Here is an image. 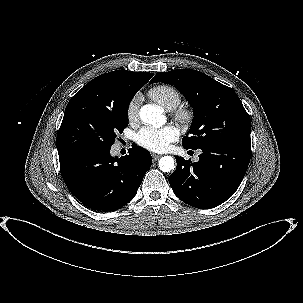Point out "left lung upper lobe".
<instances>
[{
    "label": "left lung upper lobe",
    "instance_id": "1",
    "mask_svg": "<svg viewBox=\"0 0 303 303\" xmlns=\"http://www.w3.org/2000/svg\"><path fill=\"white\" fill-rule=\"evenodd\" d=\"M174 85L194 108L190 136L183 146L198 149L211 142H251V122L239 97L210 76L195 70L158 72L151 83Z\"/></svg>",
    "mask_w": 303,
    "mask_h": 303
}]
</instances>
